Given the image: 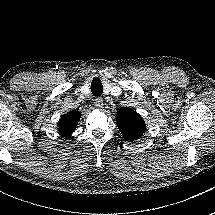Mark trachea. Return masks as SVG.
Here are the masks:
<instances>
[{
    "mask_svg": "<svg viewBox=\"0 0 215 215\" xmlns=\"http://www.w3.org/2000/svg\"><path fill=\"white\" fill-rule=\"evenodd\" d=\"M91 92L94 96H100L103 92L102 82L99 78H94L91 82Z\"/></svg>",
    "mask_w": 215,
    "mask_h": 215,
    "instance_id": "1",
    "label": "trachea"
}]
</instances>
